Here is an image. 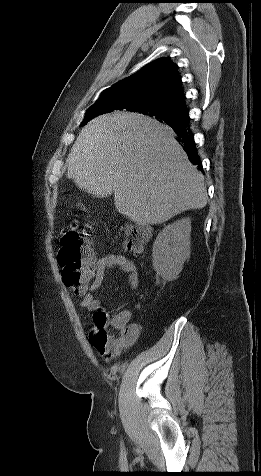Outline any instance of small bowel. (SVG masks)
<instances>
[{
	"label": "small bowel",
	"mask_w": 261,
	"mask_h": 476,
	"mask_svg": "<svg viewBox=\"0 0 261 476\" xmlns=\"http://www.w3.org/2000/svg\"><path fill=\"white\" fill-rule=\"evenodd\" d=\"M117 268L127 276L128 289L135 290L139 284V276L133 261L120 254H107L104 257L95 260L93 258V271L89 284L82 290L76 291V294L82 297L81 306L91 312L96 313L101 310L100 301L94 296L95 292L101 287L105 274L108 269ZM131 314L127 310H122L115 314L109 321L112 328L124 333L123 344L110 355L114 357L121 351L130 346L140 334V325L131 323Z\"/></svg>",
	"instance_id": "c3829d8e"
}]
</instances>
